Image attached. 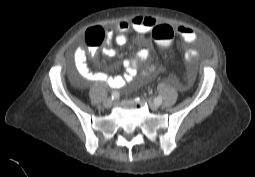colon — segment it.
<instances>
[{
    "label": "colon",
    "mask_w": 255,
    "mask_h": 177,
    "mask_svg": "<svg viewBox=\"0 0 255 177\" xmlns=\"http://www.w3.org/2000/svg\"><path fill=\"white\" fill-rule=\"evenodd\" d=\"M174 30L168 25H158L153 28L152 35L161 48H168L174 38ZM106 37L102 28H91L85 35L86 42L91 46L99 45Z\"/></svg>",
    "instance_id": "obj_1"
}]
</instances>
